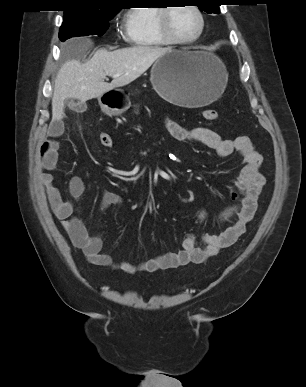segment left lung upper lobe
Segmentation results:
<instances>
[{
  "label": "left lung upper lobe",
  "instance_id": "obj_1",
  "mask_svg": "<svg viewBox=\"0 0 306 387\" xmlns=\"http://www.w3.org/2000/svg\"><path fill=\"white\" fill-rule=\"evenodd\" d=\"M220 2L221 0H196V3L201 11L215 14L220 12Z\"/></svg>",
  "mask_w": 306,
  "mask_h": 387
}]
</instances>
